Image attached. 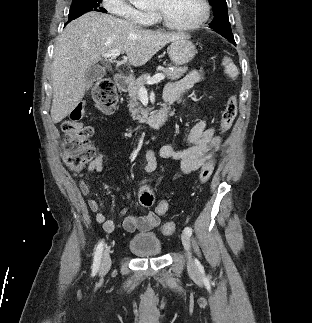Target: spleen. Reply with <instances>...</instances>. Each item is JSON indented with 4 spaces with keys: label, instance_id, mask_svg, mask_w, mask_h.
Segmentation results:
<instances>
[{
    "label": "spleen",
    "instance_id": "spleen-1",
    "mask_svg": "<svg viewBox=\"0 0 312 323\" xmlns=\"http://www.w3.org/2000/svg\"><path fill=\"white\" fill-rule=\"evenodd\" d=\"M222 66H224L225 68L224 70L225 74H228L230 78H237L239 72L235 64H233L232 60H230V58H224L222 62Z\"/></svg>",
    "mask_w": 312,
    "mask_h": 323
}]
</instances>
